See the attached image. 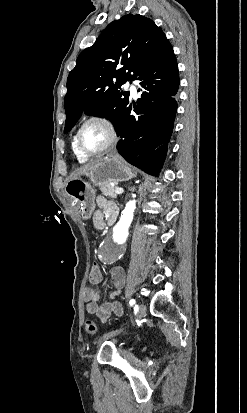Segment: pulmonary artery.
I'll use <instances>...</instances> for the list:
<instances>
[{"mask_svg": "<svg viewBox=\"0 0 247 413\" xmlns=\"http://www.w3.org/2000/svg\"><path fill=\"white\" fill-rule=\"evenodd\" d=\"M124 87L128 90H130L131 94L134 97H137V92H136V84L134 81L131 80H127L124 84Z\"/></svg>", "mask_w": 247, "mask_h": 413, "instance_id": "e3ab8cb5", "label": "pulmonary artery"}]
</instances>
